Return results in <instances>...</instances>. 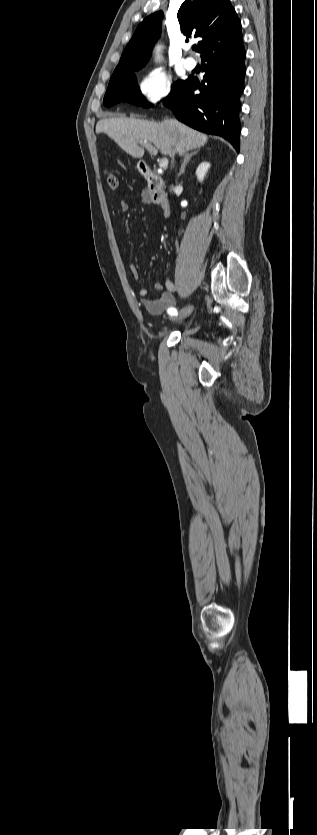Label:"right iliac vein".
<instances>
[{
    "label": "right iliac vein",
    "instance_id": "obj_1",
    "mask_svg": "<svg viewBox=\"0 0 317 835\" xmlns=\"http://www.w3.org/2000/svg\"><path fill=\"white\" fill-rule=\"evenodd\" d=\"M193 309H194L193 306H187V307L183 308L177 315L172 316L171 320H174V321L183 320L184 318L188 317L192 313Z\"/></svg>",
    "mask_w": 317,
    "mask_h": 835
}]
</instances>
